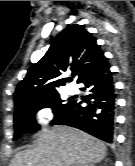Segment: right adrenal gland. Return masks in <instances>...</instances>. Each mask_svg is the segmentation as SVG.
<instances>
[{"mask_svg":"<svg viewBox=\"0 0 135 166\" xmlns=\"http://www.w3.org/2000/svg\"><path fill=\"white\" fill-rule=\"evenodd\" d=\"M84 166H94L93 164H89V165H84Z\"/></svg>","mask_w":135,"mask_h":166,"instance_id":"right-adrenal-gland-1","label":"right adrenal gland"}]
</instances>
